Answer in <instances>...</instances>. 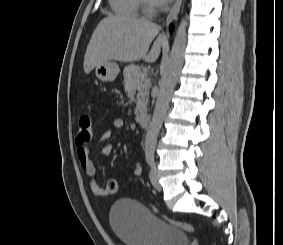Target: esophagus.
<instances>
[{"instance_id":"obj_1","label":"esophagus","mask_w":283,"mask_h":245,"mask_svg":"<svg viewBox=\"0 0 283 245\" xmlns=\"http://www.w3.org/2000/svg\"><path fill=\"white\" fill-rule=\"evenodd\" d=\"M181 4H182V0H176L167 16V20H166V25H167L166 35L167 36H169L168 27L170 23H172L177 18L180 8H181Z\"/></svg>"}]
</instances>
